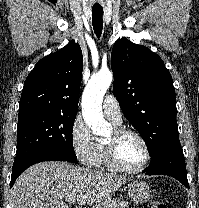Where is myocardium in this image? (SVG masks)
<instances>
[{
  "label": "myocardium",
  "instance_id": "1",
  "mask_svg": "<svg viewBox=\"0 0 199 208\" xmlns=\"http://www.w3.org/2000/svg\"><path fill=\"white\" fill-rule=\"evenodd\" d=\"M126 135H133L135 136L143 145L144 150H145V159L144 161L137 167L135 168H128L124 166L118 156H117V142ZM104 149H105V155H106V160L108 164L123 173L127 174H137L144 170L146 166L150 163L151 161V151L149 144L145 137L138 131L131 129V128H126V127H120L116 128L113 131V137L109 141L104 142Z\"/></svg>",
  "mask_w": 199,
  "mask_h": 208
}]
</instances>
